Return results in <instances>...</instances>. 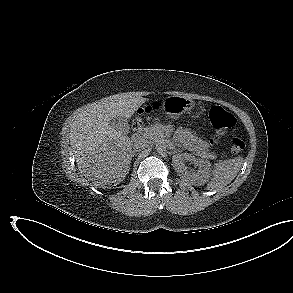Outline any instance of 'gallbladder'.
I'll list each match as a JSON object with an SVG mask.
<instances>
[{"instance_id":"1","label":"gallbladder","mask_w":293,"mask_h":293,"mask_svg":"<svg viewBox=\"0 0 293 293\" xmlns=\"http://www.w3.org/2000/svg\"><path fill=\"white\" fill-rule=\"evenodd\" d=\"M109 124L112 128H114L117 131L122 132L123 134H129L130 133V127L128 124L127 119L121 117V116H117L112 118L109 121Z\"/></svg>"}]
</instances>
